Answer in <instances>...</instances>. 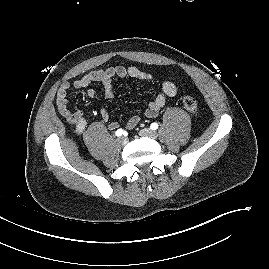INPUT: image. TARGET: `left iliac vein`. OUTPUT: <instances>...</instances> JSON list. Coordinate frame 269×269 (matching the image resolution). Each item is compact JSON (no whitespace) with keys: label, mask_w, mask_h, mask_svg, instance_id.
Here are the masks:
<instances>
[{"label":"left iliac vein","mask_w":269,"mask_h":269,"mask_svg":"<svg viewBox=\"0 0 269 269\" xmlns=\"http://www.w3.org/2000/svg\"><path fill=\"white\" fill-rule=\"evenodd\" d=\"M139 135L141 137H146V138H150V139H156L158 136L156 131H153L149 128H144V129L140 130Z\"/></svg>","instance_id":"left-iliac-vein-1"}]
</instances>
